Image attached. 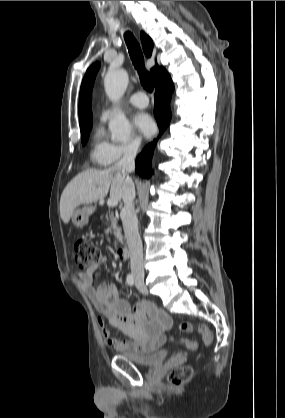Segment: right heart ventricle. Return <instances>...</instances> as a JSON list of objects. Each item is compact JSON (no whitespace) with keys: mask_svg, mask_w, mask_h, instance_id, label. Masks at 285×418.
<instances>
[{"mask_svg":"<svg viewBox=\"0 0 285 418\" xmlns=\"http://www.w3.org/2000/svg\"><path fill=\"white\" fill-rule=\"evenodd\" d=\"M113 143L108 140L104 130L101 126H98L91 138L90 147V160L93 164L98 166L108 165V153Z\"/></svg>","mask_w":285,"mask_h":418,"instance_id":"right-heart-ventricle-1","label":"right heart ventricle"}]
</instances>
